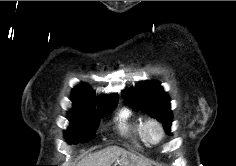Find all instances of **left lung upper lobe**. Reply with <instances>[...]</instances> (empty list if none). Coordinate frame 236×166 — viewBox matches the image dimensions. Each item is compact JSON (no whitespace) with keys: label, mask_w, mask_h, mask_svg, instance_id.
Instances as JSON below:
<instances>
[{"label":"left lung upper lobe","mask_w":236,"mask_h":166,"mask_svg":"<svg viewBox=\"0 0 236 166\" xmlns=\"http://www.w3.org/2000/svg\"><path fill=\"white\" fill-rule=\"evenodd\" d=\"M122 95L134 109H142L162 122L165 131L170 134L172 122L170 99L158 82L153 80L142 82L134 88L125 89Z\"/></svg>","instance_id":"5c2ea615"}]
</instances>
